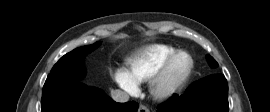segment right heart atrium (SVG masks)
I'll return each mask as SVG.
<instances>
[{
    "instance_id": "d8ad5b80",
    "label": "right heart atrium",
    "mask_w": 270,
    "mask_h": 112,
    "mask_svg": "<svg viewBox=\"0 0 270 112\" xmlns=\"http://www.w3.org/2000/svg\"><path fill=\"white\" fill-rule=\"evenodd\" d=\"M114 79L119 86L130 93H136L138 91L137 84L131 79L127 71L122 69H116L114 72Z\"/></svg>"
}]
</instances>
